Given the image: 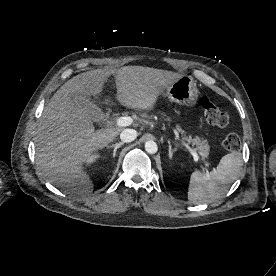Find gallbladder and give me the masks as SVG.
<instances>
[{
    "label": "gallbladder",
    "instance_id": "1",
    "mask_svg": "<svg viewBox=\"0 0 276 276\" xmlns=\"http://www.w3.org/2000/svg\"><path fill=\"white\" fill-rule=\"evenodd\" d=\"M71 100L76 107L84 111L94 122H100L105 115L98 106V101L81 94H72Z\"/></svg>",
    "mask_w": 276,
    "mask_h": 276
}]
</instances>
